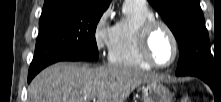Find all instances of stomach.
Here are the masks:
<instances>
[{
	"mask_svg": "<svg viewBox=\"0 0 221 102\" xmlns=\"http://www.w3.org/2000/svg\"><path fill=\"white\" fill-rule=\"evenodd\" d=\"M172 94L162 83L152 81L143 88V102H172Z\"/></svg>",
	"mask_w": 221,
	"mask_h": 102,
	"instance_id": "stomach-1",
	"label": "stomach"
}]
</instances>
